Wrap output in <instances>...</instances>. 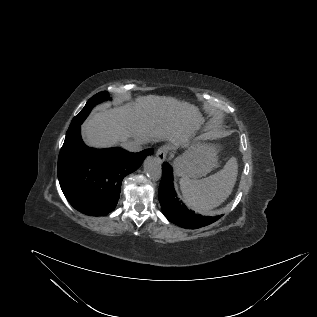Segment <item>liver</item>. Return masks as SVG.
<instances>
[{"mask_svg":"<svg viewBox=\"0 0 317 317\" xmlns=\"http://www.w3.org/2000/svg\"><path fill=\"white\" fill-rule=\"evenodd\" d=\"M201 116L196 106L174 97L139 96L133 102L92 112L82 125V135L95 148L138 138L169 140L181 145L198 129Z\"/></svg>","mask_w":317,"mask_h":317,"instance_id":"6515ba94","label":"liver"}]
</instances>
